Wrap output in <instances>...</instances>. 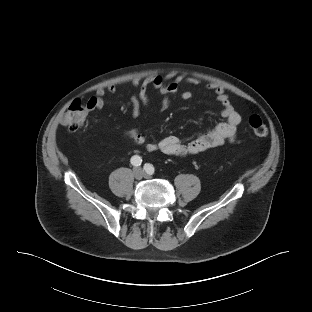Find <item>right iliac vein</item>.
<instances>
[{
  "mask_svg": "<svg viewBox=\"0 0 312 312\" xmlns=\"http://www.w3.org/2000/svg\"><path fill=\"white\" fill-rule=\"evenodd\" d=\"M143 170L141 168H135L133 171V175L136 179H141L143 177Z\"/></svg>",
  "mask_w": 312,
  "mask_h": 312,
  "instance_id": "63e3f726",
  "label": "right iliac vein"
}]
</instances>
